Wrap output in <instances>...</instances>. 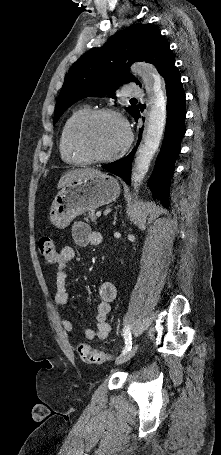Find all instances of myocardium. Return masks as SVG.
Segmentation results:
<instances>
[{"label": "myocardium", "instance_id": "obj_1", "mask_svg": "<svg viewBox=\"0 0 221 455\" xmlns=\"http://www.w3.org/2000/svg\"><path fill=\"white\" fill-rule=\"evenodd\" d=\"M113 116L119 119L125 129L126 139L122 147L116 152L107 156H97L91 152L86 144V134L89 126L98 118ZM133 141V133L127 119L116 109L99 108L89 111L77 124L75 129V144L77 149L93 163H106L122 157L130 148Z\"/></svg>", "mask_w": 221, "mask_h": 455}]
</instances>
